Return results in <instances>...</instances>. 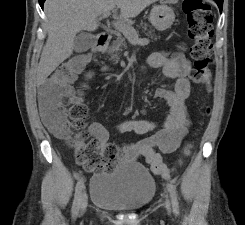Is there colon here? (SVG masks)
Wrapping results in <instances>:
<instances>
[{
	"instance_id": "1",
	"label": "colon",
	"mask_w": 245,
	"mask_h": 225,
	"mask_svg": "<svg viewBox=\"0 0 245 225\" xmlns=\"http://www.w3.org/2000/svg\"><path fill=\"white\" fill-rule=\"evenodd\" d=\"M183 13L187 18L190 38L194 41L191 54L195 61L193 76L195 81L206 86L210 85L208 70L212 65L213 35L212 18L209 5L203 0H184ZM81 65L76 55L64 61L58 70L46 80L44 90L50 95H58L62 100H70L66 108L67 120L55 125L56 134L74 147L82 165L89 171L111 169L115 162L125 156L122 146L109 144L102 152L95 141H87L89 133L86 131L88 109L80 101L79 91H74L71 83L74 70ZM188 149L184 150V154ZM103 157V158H102ZM154 169L162 177L169 178L167 167L159 159H154Z\"/></svg>"
}]
</instances>
